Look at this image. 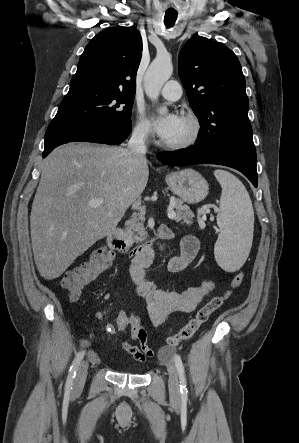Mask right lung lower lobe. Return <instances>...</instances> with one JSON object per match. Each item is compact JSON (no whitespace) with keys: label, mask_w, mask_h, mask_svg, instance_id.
<instances>
[{"label":"right lung lower lobe","mask_w":299,"mask_h":443,"mask_svg":"<svg viewBox=\"0 0 299 443\" xmlns=\"http://www.w3.org/2000/svg\"><path fill=\"white\" fill-rule=\"evenodd\" d=\"M131 132V121H111L87 125L50 124L45 134L46 157L54 148L69 142H93L109 145L122 143Z\"/></svg>","instance_id":"obj_1"}]
</instances>
